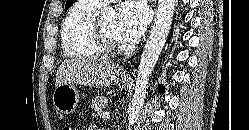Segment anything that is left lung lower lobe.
<instances>
[{
  "label": "left lung lower lobe",
  "mask_w": 249,
  "mask_h": 130,
  "mask_svg": "<svg viewBox=\"0 0 249 130\" xmlns=\"http://www.w3.org/2000/svg\"><path fill=\"white\" fill-rule=\"evenodd\" d=\"M158 89H159L161 92L164 91V88H163V86H161V85L158 87Z\"/></svg>",
  "instance_id": "1"
}]
</instances>
